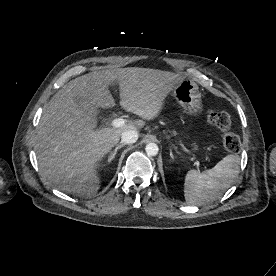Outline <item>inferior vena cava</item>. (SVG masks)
Wrapping results in <instances>:
<instances>
[{
	"instance_id": "602c4592",
	"label": "inferior vena cava",
	"mask_w": 276,
	"mask_h": 276,
	"mask_svg": "<svg viewBox=\"0 0 276 276\" xmlns=\"http://www.w3.org/2000/svg\"><path fill=\"white\" fill-rule=\"evenodd\" d=\"M138 140V132L135 130H127L122 133L121 142L125 144H132Z\"/></svg>"
}]
</instances>
